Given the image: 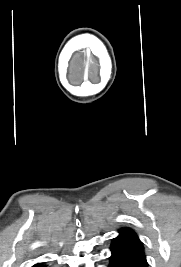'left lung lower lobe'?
<instances>
[{"mask_svg": "<svg viewBox=\"0 0 181 267\" xmlns=\"http://www.w3.org/2000/svg\"><path fill=\"white\" fill-rule=\"evenodd\" d=\"M111 252L109 267H148L142 242L131 229L120 230Z\"/></svg>", "mask_w": 181, "mask_h": 267, "instance_id": "0a47b994", "label": "left lung lower lobe"}]
</instances>
